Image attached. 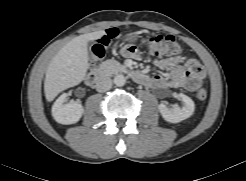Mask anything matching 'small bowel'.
Listing matches in <instances>:
<instances>
[{
  "mask_svg": "<svg viewBox=\"0 0 246 181\" xmlns=\"http://www.w3.org/2000/svg\"><path fill=\"white\" fill-rule=\"evenodd\" d=\"M121 54L126 58L139 59L141 57L138 49L133 45H125L121 49ZM193 59H186L181 54L173 55L165 59L157 60L156 65L169 71L167 75H154L149 77L145 85L155 88H185L194 90L203 81L204 73L197 75L190 69V63Z\"/></svg>",
  "mask_w": 246,
  "mask_h": 181,
  "instance_id": "c3829d8e",
  "label": "small bowel"
}]
</instances>
